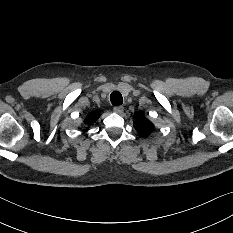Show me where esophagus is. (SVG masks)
Wrapping results in <instances>:
<instances>
[{"label": "esophagus", "mask_w": 233, "mask_h": 233, "mask_svg": "<svg viewBox=\"0 0 233 233\" xmlns=\"http://www.w3.org/2000/svg\"><path fill=\"white\" fill-rule=\"evenodd\" d=\"M113 111L115 113H119L120 114V113H122L124 111V108L122 106H116V107L113 108Z\"/></svg>", "instance_id": "1"}]
</instances>
